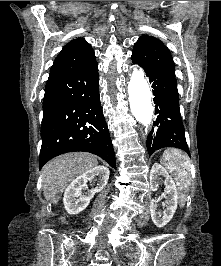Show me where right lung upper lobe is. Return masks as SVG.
<instances>
[{"mask_svg": "<svg viewBox=\"0 0 221 266\" xmlns=\"http://www.w3.org/2000/svg\"><path fill=\"white\" fill-rule=\"evenodd\" d=\"M95 61L94 50L84 38L67 43L56 57L47 82L78 71Z\"/></svg>", "mask_w": 221, "mask_h": 266, "instance_id": "cb5924a9", "label": "right lung upper lobe"}]
</instances>
